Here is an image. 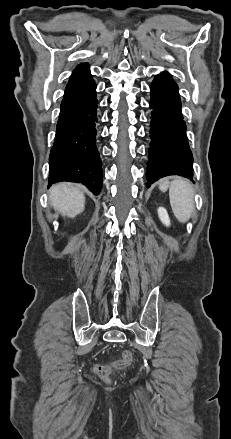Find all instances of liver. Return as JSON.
<instances>
[{
  "instance_id": "6515ba94",
  "label": "liver",
  "mask_w": 231,
  "mask_h": 439,
  "mask_svg": "<svg viewBox=\"0 0 231 439\" xmlns=\"http://www.w3.org/2000/svg\"><path fill=\"white\" fill-rule=\"evenodd\" d=\"M49 199L54 209L63 216L74 217L84 210L85 197L78 184H55L49 190Z\"/></svg>"
}]
</instances>
